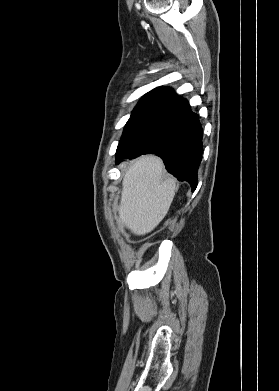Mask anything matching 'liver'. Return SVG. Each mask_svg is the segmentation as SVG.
Instances as JSON below:
<instances>
[{
    "mask_svg": "<svg viewBox=\"0 0 279 391\" xmlns=\"http://www.w3.org/2000/svg\"><path fill=\"white\" fill-rule=\"evenodd\" d=\"M175 189L176 182L165 177L164 164L159 157L139 158L123 178L118 226H125L136 235L151 232L166 216Z\"/></svg>",
    "mask_w": 279,
    "mask_h": 391,
    "instance_id": "1",
    "label": "liver"
}]
</instances>
